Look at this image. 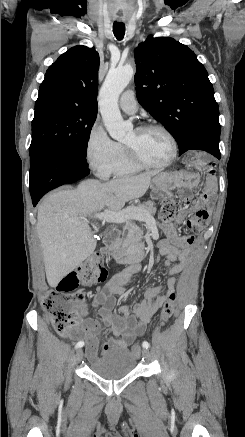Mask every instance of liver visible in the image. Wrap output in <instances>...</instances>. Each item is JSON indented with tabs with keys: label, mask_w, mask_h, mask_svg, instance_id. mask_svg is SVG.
Here are the masks:
<instances>
[{
	"label": "liver",
	"mask_w": 245,
	"mask_h": 437,
	"mask_svg": "<svg viewBox=\"0 0 245 437\" xmlns=\"http://www.w3.org/2000/svg\"><path fill=\"white\" fill-rule=\"evenodd\" d=\"M157 173L150 171L105 183L86 180L74 190L53 192L42 201L38 207L37 234L51 287H56L94 252L98 228L92 231L87 218L101 210L118 212L129 200L142 197Z\"/></svg>",
	"instance_id": "liver-1"
}]
</instances>
